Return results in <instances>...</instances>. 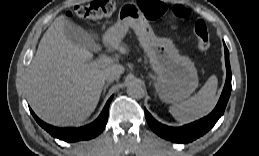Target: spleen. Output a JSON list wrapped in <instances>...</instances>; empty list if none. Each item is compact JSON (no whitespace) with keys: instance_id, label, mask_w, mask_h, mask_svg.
I'll return each mask as SVG.
<instances>
[{"instance_id":"obj_1","label":"spleen","mask_w":259,"mask_h":156,"mask_svg":"<svg viewBox=\"0 0 259 156\" xmlns=\"http://www.w3.org/2000/svg\"><path fill=\"white\" fill-rule=\"evenodd\" d=\"M217 85V77L210 76L197 94L188 100L170 106L169 112L181 123L192 122L207 115L215 106Z\"/></svg>"}]
</instances>
